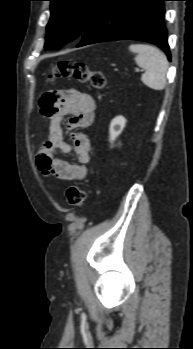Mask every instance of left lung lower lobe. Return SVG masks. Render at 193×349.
<instances>
[{"mask_svg": "<svg viewBox=\"0 0 193 349\" xmlns=\"http://www.w3.org/2000/svg\"><path fill=\"white\" fill-rule=\"evenodd\" d=\"M166 0H108L85 29L77 47L113 40H142L171 55L164 26Z\"/></svg>", "mask_w": 193, "mask_h": 349, "instance_id": "obj_1", "label": "left lung lower lobe"}]
</instances>
